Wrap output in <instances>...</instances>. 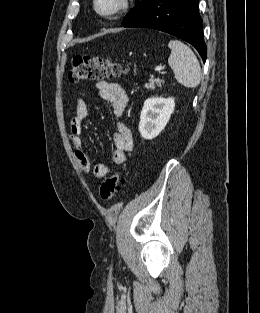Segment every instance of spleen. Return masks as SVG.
<instances>
[{"instance_id": "spleen-1", "label": "spleen", "mask_w": 260, "mask_h": 313, "mask_svg": "<svg viewBox=\"0 0 260 313\" xmlns=\"http://www.w3.org/2000/svg\"><path fill=\"white\" fill-rule=\"evenodd\" d=\"M171 54L168 63L178 83L187 88H195L201 80V68L193 51L179 40L169 42Z\"/></svg>"}]
</instances>
